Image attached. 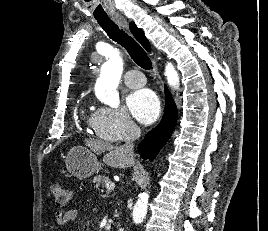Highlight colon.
Masks as SVG:
<instances>
[{
  "mask_svg": "<svg viewBox=\"0 0 268 231\" xmlns=\"http://www.w3.org/2000/svg\"><path fill=\"white\" fill-rule=\"evenodd\" d=\"M51 193L54 199V202L64 208L67 206L69 199H70V192L69 190L60 185V184H53L51 186Z\"/></svg>",
  "mask_w": 268,
  "mask_h": 231,
  "instance_id": "1",
  "label": "colon"
}]
</instances>
